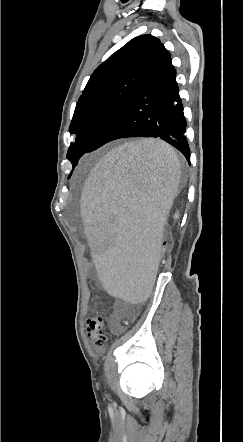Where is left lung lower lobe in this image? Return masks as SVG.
<instances>
[{"label": "left lung lower lobe", "instance_id": "1", "mask_svg": "<svg viewBox=\"0 0 243 442\" xmlns=\"http://www.w3.org/2000/svg\"><path fill=\"white\" fill-rule=\"evenodd\" d=\"M186 119L176 83V71L166 50L139 86L119 106L90 148L128 137L160 138L177 148L190 163Z\"/></svg>", "mask_w": 243, "mask_h": 442}]
</instances>
